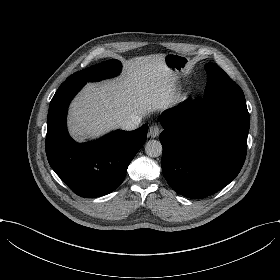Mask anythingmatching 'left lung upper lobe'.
Wrapping results in <instances>:
<instances>
[{
  "mask_svg": "<svg viewBox=\"0 0 280 280\" xmlns=\"http://www.w3.org/2000/svg\"><path fill=\"white\" fill-rule=\"evenodd\" d=\"M205 69L207 86L204 96L237 85L218 65L210 62L205 65Z\"/></svg>",
  "mask_w": 280,
  "mask_h": 280,
  "instance_id": "1",
  "label": "left lung upper lobe"
}]
</instances>
